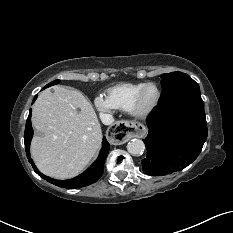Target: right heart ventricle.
<instances>
[{
	"mask_svg": "<svg viewBox=\"0 0 233 233\" xmlns=\"http://www.w3.org/2000/svg\"><path fill=\"white\" fill-rule=\"evenodd\" d=\"M145 83H121L109 88L105 98L114 109L129 111L138 90Z\"/></svg>",
	"mask_w": 233,
	"mask_h": 233,
	"instance_id": "e07e8e85",
	"label": "right heart ventricle"
}]
</instances>
